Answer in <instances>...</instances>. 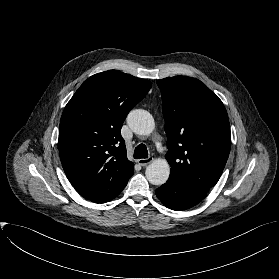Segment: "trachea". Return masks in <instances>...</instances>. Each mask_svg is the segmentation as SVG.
<instances>
[{
  "label": "trachea",
  "mask_w": 279,
  "mask_h": 279,
  "mask_svg": "<svg viewBox=\"0 0 279 279\" xmlns=\"http://www.w3.org/2000/svg\"><path fill=\"white\" fill-rule=\"evenodd\" d=\"M148 157V150L146 145L139 144L134 150L135 159H145Z\"/></svg>",
  "instance_id": "3493384b"
}]
</instances>
